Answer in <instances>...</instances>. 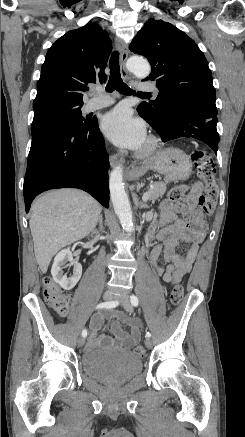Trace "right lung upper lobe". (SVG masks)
Returning a JSON list of instances; mask_svg holds the SVG:
<instances>
[{"label":"right lung upper lobe","mask_w":245,"mask_h":437,"mask_svg":"<svg viewBox=\"0 0 245 437\" xmlns=\"http://www.w3.org/2000/svg\"><path fill=\"white\" fill-rule=\"evenodd\" d=\"M111 51L107 32L96 23L65 33L46 54L33 108L60 102L82 105L87 85L106 80Z\"/></svg>","instance_id":"right-lung-upper-lobe-1"}]
</instances>
